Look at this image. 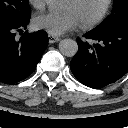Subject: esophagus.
<instances>
[{
  "instance_id": "esophagus-1",
  "label": "esophagus",
  "mask_w": 128,
  "mask_h": 128,
  "mask_svg": "<svg viewBox=\"0 0 128 128\" xmlns=\"http://www.w3.org/2000/svg\"><path fill=\"white\" fill-rule=\"evenodd\" d=\"M60 40V38L59 37H56V36H54V35H48V41H49V43H55V42H58Z\"/></svg>"
}]
</instances>
